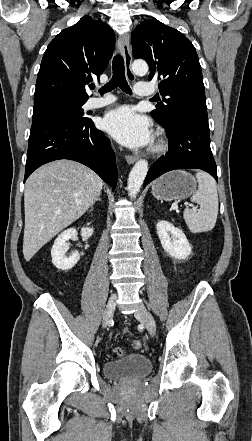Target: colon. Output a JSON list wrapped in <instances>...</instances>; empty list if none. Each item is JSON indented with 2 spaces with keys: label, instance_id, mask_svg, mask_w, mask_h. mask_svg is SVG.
Here are the masks:
<instances>
[{
  "label": "colon",
  "instance_id": "5ec220e1",
  "mask_svg": "<svg viewBox=\"0 0 252 441\" xmlns=\"http://www.w3.org/2000/svg\"><path fill=\"white\" fill-rule=\"evenodd\" d=\"M132 347L134 350H141L142 348V342L139 339H136L132 342ZM115 354L117 356H123L124 355V351L121 348H116L114 350Z\"/></svg>",
  "mask_w": 252,
  "mask_h": 441
}]
</instances>
